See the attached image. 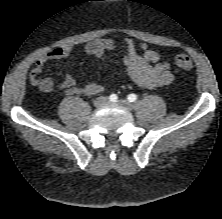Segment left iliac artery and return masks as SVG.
<instances>
[{
    "label": "left iliac artery",
    "instance_id": "obj_1",
    "mask_svg": "<svg viewBox=\"0 0 222 219\" xmlns=\"http://www.w3.org/2000/svg\"><path fill=\"white\" fill-rule=\"evenodd\" d=\"M127 99H128L129 102H134V101L137 100V95L130 94V95H128Z\"/></svg>",
    "mask_w": 222,
    "mask_h": 219
}]
</instances>
